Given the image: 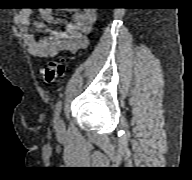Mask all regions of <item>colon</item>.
I'll return each instance as SVG.
<instances>
[{"mask_svg": "<svg viewBox=\"0 0 192 180\" xmlns=\"http://www.w3.org/2000/svg\"><path fill=\"white\" fill-rule=\"evenodd\" d=\"M43 78L46 83L52 84L57 82L64 74V65L61 61H49L43 67Z\"/></svg>", "mask_w": 192, "mask_h": 180, "instance_id": "5ec220e1", "label": "colon"}]
</instances>
